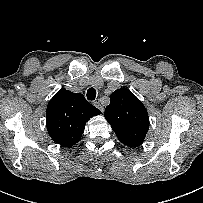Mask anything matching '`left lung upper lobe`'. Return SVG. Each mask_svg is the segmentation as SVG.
<instances>
[{"mask_svg":"<svg viewBox=\"0 0 203 203\" xmlns=\"http://www.w3.org/2000/svg\"><path fill=\"white\" fill-rule=\"evenodd\" d=\"M105 109V118L119 141L129 147L143 143L149 129V118L142 102L127 88L114 91Z\"/></svg>","mask_w":203,"mask_h":203,"instance_id":"5c2ea615","label":"left lung upper lobe"}]
</instances>
